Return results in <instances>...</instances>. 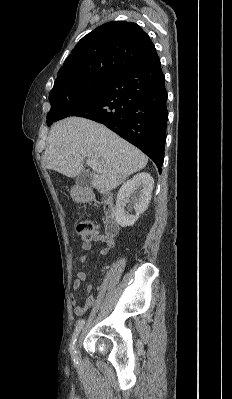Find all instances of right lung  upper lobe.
Segmentation results:
<instances>
[{"instance_id":"1","label":"right lung upper lobe","mask_w":232,"mask_h":399,"mask_svg":"<svg viewBox=\"0 0 232 399\" xmlns=\"http://www.w3.org/2000/svg\"><path fill=\"white\" fill-rule=\"evenodd\" d=\"M155 46L136 23L113 21L83 37L67 57L49 95L88 78H110L150 57Z\"/></svg>"}]
</instances>
